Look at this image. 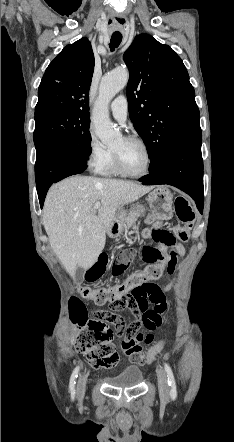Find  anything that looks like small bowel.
<instances>
[{
  "mask_svg": "<svg viewBox=\"0 0 234 442\" xmlns=\"http://www.w3.org/2000/svg\"><path fill=\"white\" fill-rule=\"evenodd\" d=\"M147 223L152 224L151 229L161 230L162 223L155 221L154 215L148 216ZM151 229H146L143 232V237L152 238ZM172 247L173 249L169 254H162L158 259V262L170 274L173 273L179 259L185 254V247L183 244L176 242ZM126 282L127 280L125 283ZM151 285L157 287L163 294L168 292L172 287V283L165 286H157L155 284ZM135 286L136 285H129L127 286V289L131 290ZM107 322L113 323V326L115 327L114 331L119 333L120 342L127 343L122 344L125 354L131 359L135 360L138 364H143L146 358L142 356V347L138 343H150L153 337V334H150V332L154 331V328L163 327L164 323L166 322V315L139 314L137 315L136 319L132 320L131 323H125L124 320L121 319L120 315L107 311H101L99 314L95 315L94 319H89L87 325L89 328H95L97 331H109V325ZM139 328H145L146 332L144 333V331ZM133 367H137V364H133Z\"/></svg>",
  "mask_w": 234,
  "mask_h": 442,
  "instance_id": "small-bowel-1",
  "label": "small bowel"
}]
</instances>
